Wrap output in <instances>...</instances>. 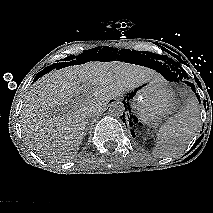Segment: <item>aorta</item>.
<instances>
[{
  "instance_id": "1",
  "label": "aorta",
  "mask_w": 213,
  "mask_h": 213,
  "mask_svg": "<svg viewBox=\"0 0 213 213\" xmlns=\"http://www.w3.org/2000/svg\"><path fill=\"white\" fill-rule=\"evenodd\" d=\"M125 111L124 105L121 102H112L109 107V115L112 117H121Z\"/></svg>"
}]
</instances>
